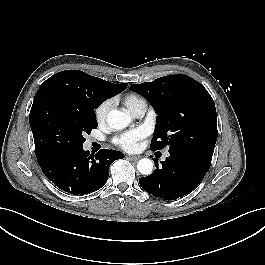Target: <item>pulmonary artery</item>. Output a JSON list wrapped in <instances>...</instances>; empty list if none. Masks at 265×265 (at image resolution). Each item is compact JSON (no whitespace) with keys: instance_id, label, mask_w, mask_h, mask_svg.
<instances>
[{"instance_id":"pulmonary-artery-1","label":"pulmonary artery","mask_w":265,"mask_h":265,"mask_svg":"<svg viewBox=\"0 0 265 265\" xmlns=\"http://www.w3.org/2000/svg\"><path fill=\"white\" fill-rule=\"evenodd\" d=\"M145 112H146V108L144 107V108H140L139 110H137L135 113H134V115L136 116V117H142L144 114H145ZM169 156V152H165L164 153V159L165 158H167Z\"/></svg>"}]
</instances>
